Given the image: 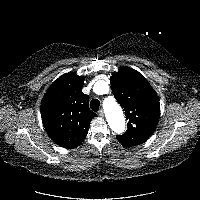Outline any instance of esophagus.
<instances>
[{"instance_id":"obj_1","label":"esophagus","mask_w":200,"mask_h":200,"mask_svg":"<svg viewBox=\"0 0 200 200\" xmlns=\"http://www.w3.org/2000/svg\"><path fill=\"white\" fill-rule=\"evenodd\" d=\"M98 115L101 116V117H103V116H104V111H103L102 109H100V110L98 111Z\"/></svg>"}]
</instances>
